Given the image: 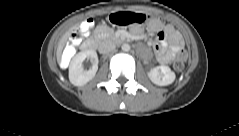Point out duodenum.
<instances>
[{
	"label": "duodenum",
	"instance_id": "1",
	"mask_svg": "<svg viewBox=\"0 0 239 136\" xmlns=\"http://www.w3.org/2000/svg\"><path fill=\"white\" fill-rule=\"evenodd\" d=\"M119 43H125L126 40L125 39H122V38H118L117 39ZM77 41V40H76ZM95 47V41L94 39H87L86 41L83 42L82 44V49L83 50H86V51H89V50H93Z\"/></svg>",
	"mask_w": 239,
	"mask_h": 136
}]
</instances>
